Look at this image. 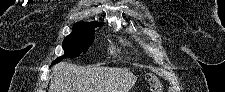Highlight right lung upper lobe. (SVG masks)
Masks as SVG:
<instances>
[{"label":"right lung upper lobe","mask_w":225,"mask_h":92,"mask_svg":"<svg viewBox=\"0 0 225 92\" xmlns=\"http://www.w3.org/2000/svg\"><path fill=\"white\" fill-rule=\"evenodd\" d=\"M94 23H98V22H78L76 24H74L73 30L79 29L81 27L87 26V25H91Z\"/></svg>","instance_id":"1"}]
</instances>
